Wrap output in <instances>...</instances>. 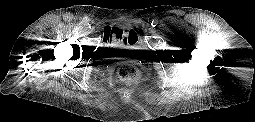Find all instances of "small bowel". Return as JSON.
I'll return each instance as SVG.
<instances>
[{
	"instance_id": "1",
	"label": "small bowel",
	"mask_w": 255,
	"mask_h": 122,
	"mask_svg": "<svg viewBox=\"0 0 255 122\" xmlns=\"http://www.w3.org/2000/svg\"><path fill=\"white\" fill-rule=\"evenodd\" d=\"M108 28V27H107ZM106 28V29H107ZM130 42H132L133 40H128ZM104 42H105V46L107 47H110V46H113V45H116L117 43H119L120 41L117 40L115 37L113 36H110L106 33V30H105V34H104Z\"/></svg>"
}]
</instances>
